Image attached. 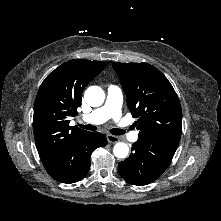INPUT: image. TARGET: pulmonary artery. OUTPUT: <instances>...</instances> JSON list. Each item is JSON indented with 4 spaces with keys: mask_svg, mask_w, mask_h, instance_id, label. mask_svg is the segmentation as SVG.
I'll return each mask as SVG.
<instances>
[{
    "mask_svg": "<svg viewBox=\"0 0 221 221\" xmlns=\"http://www.w3.org/2000/svg\"><path fill=\"white\" fill-rule=\"evenodd\" d=\"M122 91L116 85H110L107 89V98L103 106L95 109L90 114L82 118L83 122L91 124H101L108 119L119 122L121 119ZM130 140L136 141L138 134H130Z\"/></svg>",
    "mask_w": 221,
    "mask_h": 221,
    "instance_id": "obj_1",
    "label": "pulmonary artery"
}]
</instances>
